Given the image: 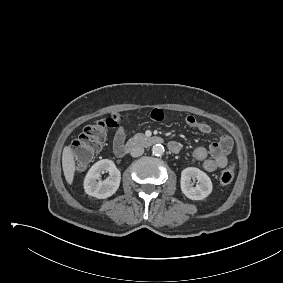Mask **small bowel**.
Segmentation results:
<instances>
[{"label": "small bowel", "mask_w": 283, "mask_h": 283, "mask_svg": "<svg viewBox=\"0 0 283 283\" xmlns=\"http://www.w3.org/2000/svg\"><path fill=\"white\" fill-rule=\"evenodd\" d=\"M151 119L155 121H160L163 118V112L159 109H152L149 112ZM122 115L118 113L112 114L108 119L109 127L113 128L114 139H113V150L117 156H121V149L125 142V130L121 125ZM185 123L192 129L199 131L202 134L208 135L211 133V127L198 120L193 115H188L185 117ZM233 142L230 136L225 133L220 132L218 140L212 142L209 148L197 147L193 156L196 160L202 161V167L206 172H213L218 168L226 167L228 163V155L232 150ZM169 148L172 152L178 153L181 150V145L178 142H171Z\"/></svg>", "instance_id": "obj_1"}]
</instances>
